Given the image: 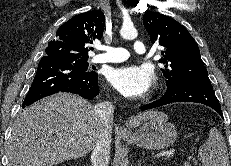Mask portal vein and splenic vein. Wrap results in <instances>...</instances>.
Returning a JSON list of instances; mask_svg holds the SVG:
<instances>
[{
    "label": "portal vein and splenic vein",
    "mask_w": 231,
    "mask_h": 166,
    "mask_svg": "<svg viewBox=\"0 0 231 166\" xmlns=\"http://www.w3.org/2000/svg\"><path fill=\"white\" fill-rule=\"evenodd\" d=\"M174 154H175L174 150H169V151L163 152L161 155L165 156V157H169V156H173ZM184 165L185 166H191L189 162H185Z\"/></svg>",
    "instance_id": "1"
}]
</instances>
